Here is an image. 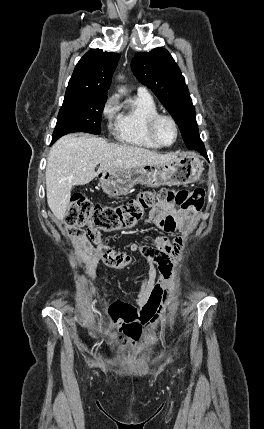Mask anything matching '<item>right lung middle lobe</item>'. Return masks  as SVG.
Wrapping results in <instances>:
<instances>
[{"label":"right lung middle lobe","instance_id":"right-lung-middle-lobe-1","mask_svg":"<svg viewBox=\"0 0 264 429\" xmlns=\"http://www.w3.org/2000/svg\"><path fill=\"white\" fill-rule=\"evenodd\" d=\"M106 97L65 95L53 132L52 143L71 132L101 133Z\"/></svg>","mask_w":264,"mask_h":429}]
</instances>
